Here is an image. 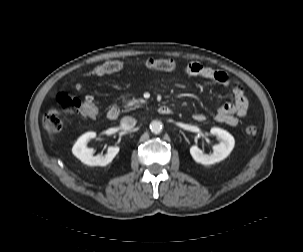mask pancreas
<instances>
[{
  "label": "pancreas",
  "mask_w": 303,
  "mask_h": 252,
  "mask_svg": "<svg viewBox=\"0 0 303 252\" xmlns=\"http://www.w3.org/2000/svg\"><path fill=\"white\" fill-rule=\"evenodd\" d=\"M145 101L141 99H131L127 101L126 108L129 109L131 107H138L140 104H143Z\"/></svg>",
  "instance_id": "1"
}]
</instances>
